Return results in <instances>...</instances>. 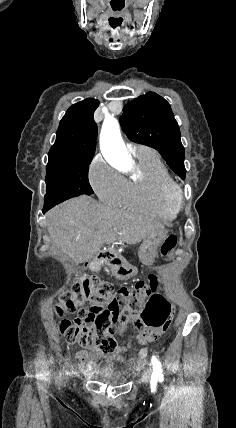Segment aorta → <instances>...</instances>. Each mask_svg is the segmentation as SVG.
<instances>
[{
    "instance_id": "aorta-1",
    "label": "aorta",
    "mask_w": 236,
    "mask_h": 428,
    "mask_svg": "<svg viewBox=\"0 0 236 428\" xmlns=\"http://www.w3.org/2000/svg\"><path fill=\"white\" fill-rule=\"evenodd\" d=\"M100 148L104 157L123 168H129L132 161L123 142L118 121L107 115L100 133Z\"/></svg>"
}]
</instances>
